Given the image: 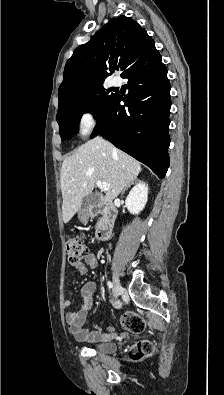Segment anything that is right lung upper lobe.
Listing matches in <instances>:
<instances>
[{
    "mask_svg": "<svg viewBox=\"0 0 224 395\" xmlns=\"http://www.w3.org/2000/svg\"><path fill=\"white\" fill-rule=\"evenodd\" d=\"M155 48L153 39L130 17L105 24L91 40L78 46L67 61L59 87V106L69 98L103 84L117 64L123 76L130 66Z\"/></svg>",
    "mask_w": 224,
    "mask_h": 395,
    "instance_id": "right-lung-upper-lobe-1",
    "label": "right lung upper lobe"
}]
</instances>
